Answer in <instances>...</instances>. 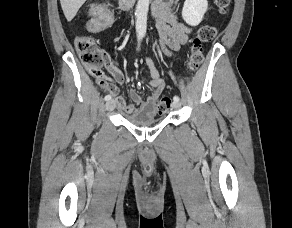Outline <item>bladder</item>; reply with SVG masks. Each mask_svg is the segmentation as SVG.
I'll return each mask as SVG.
<instances>
[{
    "mask_svg": "<svg viewBox=\"0 0 292 228\" xmlns=\"http://www.w3.org/2000/svg\"><path fill=\"white\" fill-rule=\"evenodd\" d=\"M127 120L137 126H149L159 122V118L155 115L132 114L127 117Z\"/></svg>",
    "mask_w": 292,
    "mask_h": 228,
    "instance_id": "1",
    "label": "bladder"
}]
</instances>
